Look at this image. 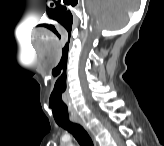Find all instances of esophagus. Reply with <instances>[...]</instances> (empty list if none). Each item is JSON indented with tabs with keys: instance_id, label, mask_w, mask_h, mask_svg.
Instances as JSON below:
<instances>
[{
	"instance_id": "34e87169",
	"label": "esophagus",
	"mask_w": 164,
	"mask_h": 146,
	"mask_svg": "<svg viewBox=\"0 0 164 146\" xmlns=\"http://www.w3.org/2000/svg\"><path fill=\"white\" fill-rule=\"evenodd\" d=\"M73 121L83 125V122H82V120L80 118H75V119H73Z\"/></svg>"
}]
</instances>
